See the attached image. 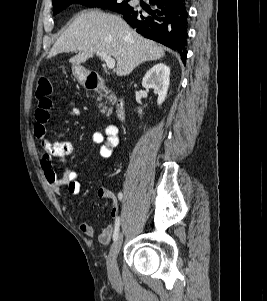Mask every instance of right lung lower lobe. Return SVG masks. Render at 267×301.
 <instances>
[{
	"mask_svg": "<svg viewBox=\"0 0 267 301\" xmlns=\"http://www.w3.org/2000/svg\"><path fill=\"white\" fill-rule=\"evenodd\" d=\"M150 6L129 5L119 13L126 22L146 38L155 40L180 53L186 63V0H150Z\"/></svg>",
	"mask_w": 267,
	"mask_h": 301,
	"instance_id": "right-lung-lower-lobe-1",
	"label": "right lung lower lobe"
}]
</instances>
